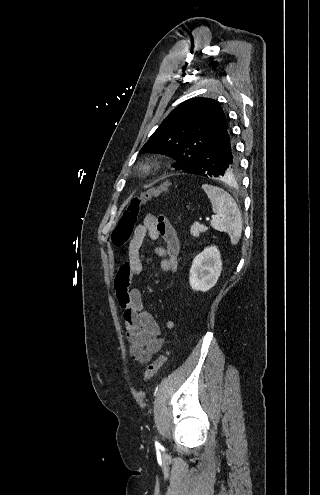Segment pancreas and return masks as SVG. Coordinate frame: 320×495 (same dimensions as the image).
I'll return each instance as SVG.
<instances>
[{
  "label": "pancreas",
  "instance_id": "obj_1",
  "mask_svg": "<svg viewBox=\"0 0 320 495\" xmlns=\"http://www.w3.org/2000/svg\"><path fill=\"white\" fill-rule=\"evenodd\" d=\"M208 230V227L200 224L199 222H195L190 229V233L194 237H199L200 233H204Z\"/></svg>",
  "mask_w": 320,
  "mask_h": 495
}]
</instances>
